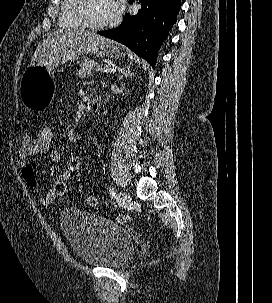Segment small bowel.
Instances as JSON below:
<instances>
[{
	"mask_svg": "<svg viewBox=\"0 0 272 303\" xmlns=\"http://www.w3.org/2000/svg\"><path fill=\"white\" fill-rule=\"evenodd\" d=\"M37 155H45L49 163L57 164L61 160V154L54 147H46L42 145L37 138L25 136L22 139L21 145L16 153V161L20 167H25L28 161ZM56 195L52 188H50L40 198V203L48 207L51 205Z\"/></svg>",
	"mask_w": 272,
	"mask_h": 303,
	"instance_id": "obj_1",
	"label": "small bowel"
}]
</instances>
